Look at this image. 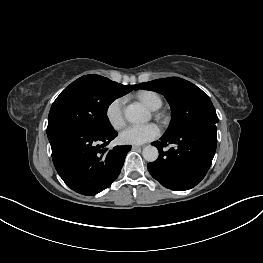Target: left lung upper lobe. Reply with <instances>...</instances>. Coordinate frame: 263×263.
Here are the masks:
<instances>
[{"instance_id": "1", "label": "left lung upper lobe", "mask_w": 263, "mask_h": 263, "mask_svg": "<svg viewBox=\"0 0 263 263\" xmlns=\"http://www.w3.org/2000/svg\"><path fill=\"white\" fill-rule=\"evenodd\" d=\"M136 89L158 92L168 100L172 108V120L164 136L191 128H216L218 117L210 98L187 80L178 77L157 79L140 83Z\"/></svg>"}]
</instances>
